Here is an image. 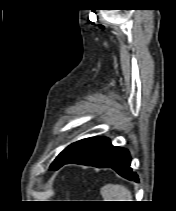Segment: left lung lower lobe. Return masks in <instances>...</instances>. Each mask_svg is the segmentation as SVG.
Returning a JSON list of instances; mask_svg holds the SVG:
<instances>
[{
  "mask_svg": "<svg viewBox=\"0 0 176 211\" xmlns=\"http://www.w3.org/2000/svg\"><path fill=\"white\" fill-rule=\"evenodd\" d=\"M69 163L112 168L122 177L138 182L137 174L130 168L131 157L128 150L113 146L110 139L106 137L92 138L77 154L64 161L61 166Z\"/></svg>",
  "mask_w": 176,
  "mask_h": 211,
  "instance_id": "1",
  "label": "left lung lower lobe"
}]
</instances>
